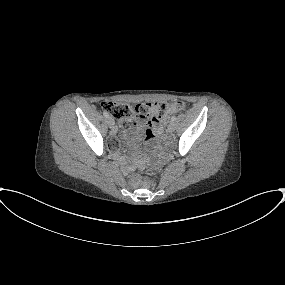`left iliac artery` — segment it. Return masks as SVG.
I'll return each instance as SVG.
<instances>
[{"instance_id": "44dca946", "label": "left iliac artery", "mask_w": 285, "mask_h": 285, "mask_svg": "<svg viewBox=\"0 0 285 285\" xmlns=\"http://www.w3.org/2000/svg\"><path fill=\"white\" fill-rule=\"evenodd\" d=\"M176 120L175 116H172L171 121L174 122Z\"/></svg>"}]
</instances>
